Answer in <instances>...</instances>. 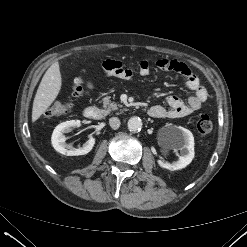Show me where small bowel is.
Masks as SVG:
<instances>
[{
  "label": "small bowel",
  "mask_w": 247,
  "mask_h": 247,
  "mask_svg": "<svg viewBox=\"0 0 247 247\" xmlns=\"http://www.w3.org/2000/svg\"><path fill=\"white\" fill-rule=\"evenodd\" d=\"M155 66L164 71H173L185 78V86L192 93L184 102L178 96H170L167 98V107L162 105H154L148 110L151 117L164 119V118H180L199 110L202 104L207 99V90L200 83L199 78L195 75L189 67L178 60L160 59L155 62ZM102 68L106 76H114L120 79H130L134 76L135 71L126 68L120 61L106 60L102 64ZM151 72V65L147 60L140 62L138 66V74L140 76H147ZM88 89H93V83L87 82Z\"/></svg>",
  "instance_id": "1"
}]
</instances>
